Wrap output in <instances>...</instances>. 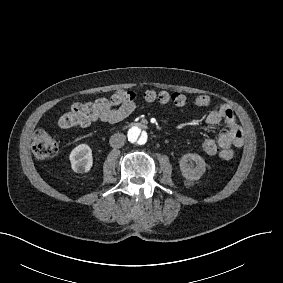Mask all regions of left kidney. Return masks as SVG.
Returning <instances> with one entry per match:
<instances>
[{"instance_id":"left-kidney-1","label":"left kidney","mask_w":283,"mask_h":283,"mask_svg":"<svg viewBox=\"0 0 283 283\" xmlns=\"http://www.w3.org/2000/svg\"><path fill=\"white\" fill-rule=\"evenodd\" d=\"M192 162H195V167ZM179 166L183 177L190 181L199 180L206 171V163L198 154L183 155L179 160Z\"/></svg>"}]
</instances>
